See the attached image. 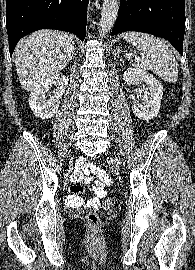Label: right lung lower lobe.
<instances>
[{
  "label": "right lung lower lobe",
  "instance_id": "right-lung-lower-lobe-1",
  "mask_svg": "<svg viewBox=\"0 0 195 270\" xmlns=\"http://www.w3.org/2000/svg\"><path fill=\"white\" fill-rule=\"evenodd\" d=\"M89 0H6L9 52L17 42L39 29H56L84 40Z\"/></svg>",
  "mask_w": 195,
  "mask_h": 270
}]
</instances>
